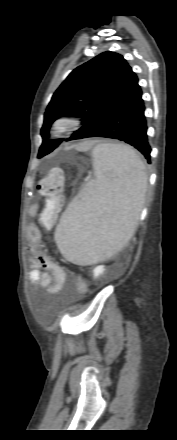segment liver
<instances>
[{
  "mask_svg": "<svg viewBox=\"0 0 177 440\" xmlns=\"http://www.w3.org/2000/svg\"><path fill=\"white\" fill-rule=\"evenodd\" d=\"M90 146H91L90 142H84V143H80V144L76 145L75 147L78 150H87V149H89Z\"/></svg>",
  "mask_w": 177,
  "mask_h": 440,
  "instance_id": "obj_1",
  "label": "liver"
}]
</instances>
